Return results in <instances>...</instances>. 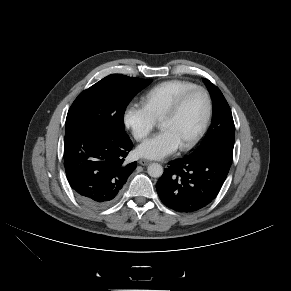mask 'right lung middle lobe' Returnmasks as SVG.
<instances>
[{"label":"right lung middle lobe","instance_id":"obj_1","mask_svg":"<svg viewBox=\"0 0 291 291\" xmlns=\"http://www.w3.org/2000/svg\"><path fill=\"white\" fill-rule=\"evenodd\" d=\"M151 81L120 74L103 78L75 99L67 114L66 133L79 129L123 132L127 105Z\"/></svg>","mask_w":291,"mask_h":291}]
</instances>
